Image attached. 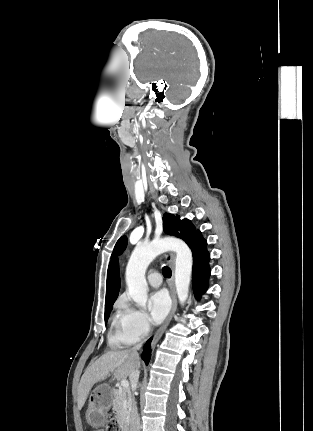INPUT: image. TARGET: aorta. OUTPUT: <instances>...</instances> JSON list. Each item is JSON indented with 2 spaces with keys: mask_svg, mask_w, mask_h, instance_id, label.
Segmentation results:
<instances>
[{
  "mask_svg": "<svg viewBox=\"0 0 313 431\" xmlns=\"http://www.w3.org/2000/svg\"><path fill=\"white\" fill-rule=\"evenodd\" d=\"M176 252L175 286L182 305L188 298L192 273V253L185 242L177 238L155 239L147 245H138L126 267V284L135 303L146 308L148 286L145 272L148 265L160 254Z\"/></svg>",
  "mask_w": 313,
  "mask_h": 431,
  "instance_id": "762f6f07",
  "label": "aorta"
}]
</instances>
